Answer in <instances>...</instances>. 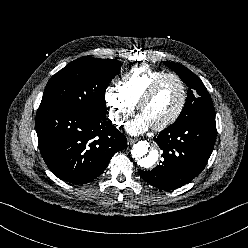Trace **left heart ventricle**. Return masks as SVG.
Returning a JSON list of instances; mask_svg holds the SVG:
<instances>
[{
  "label": "left heart ventricle",
  "mask_w": 248,
  "mask_h": 248,
  "mask_svg": "<svg viewBox=\"0 0 248 248\" xmlns=\"http://www.w3.org/2000/svg\"><path fill=\"white\" fill-rule=\"evenodd\" d=\"M180 100L181 88L178 81L168 77L161 82L154 96L142 108L141 114L150 125L158 124L175 112Z\"/></svg>",
  "instance_id": "1"
}]
</instances>
